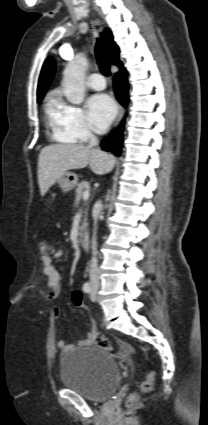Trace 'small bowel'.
Wrapping results in <instances>:
<instances>
[{
    "label": "small bowel",
    "instance_id": "1",
    "mask_svg": "<svg viewBox=\"0 0 208 425\" xmlns=\"http://www.w3.org/2000/svg\"><path fill=\"white\" fill-rule=\"evenodd\" d=\"M62 256H63V251L61 250H57L53 254L54 258H61ZM41 261L43 263V272L45 276L47 277V287H48L47 297L49 300H54L59 296L61 292V275L59 270L53 265L52 258L50 256L43 255L41 257ZM53 313L55 316L58 317L60 315V308L57 306L54 307ZM92 343L93 341L90 334L87 336V338L79 341L80 346H87ZM56 344H57V347L64 352H68L74 348L73 344L67 343L64 339H58ZM119 344L122 350H127L128 346L125 343L120 342Z\"/></svg>",
    "mask_w": 208,
    "mask_h": 425
}]
</instances>
